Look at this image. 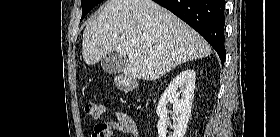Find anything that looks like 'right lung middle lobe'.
Masks as SVG:
<instances>
[{"label":"right lung middle lobe","instance_id":"obj_1","mask_svg":"<svg viewBox=\"0 0 280 137\" xmlns=\"http://www.w3.org/2000/svg\"><path fill=\"white\" fill-rule=\"evenodd\" d=\"M103 0H82V18L81 20L86 16L88 12L92 8H94L98 3H100Z\"/></svg>","mask_w":280,"mask_h":137}]
</instances>
